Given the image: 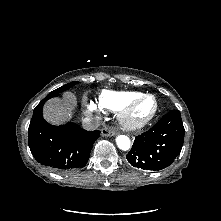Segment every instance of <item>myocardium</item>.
<instances>
[{
    "label": "myocardium",
    "mask_w": 221,
    "mask_h": 221,
    "mask_svg": "<svg viewBox=\"0 0 221 221\" xmlns=\"http://www.w3.org/2000/svg\"><path fill=\"white\" fill-rule=\"evenodd\" d=\"M146 98H152L155 102L154 109L152 113L144 120L139 121V122H133L129 119V114L132 110V108L141 100L146 99ZM159 110V103L157 98L152 95V94H141L132 100L128 101L126 104L122 106V108L118 111V121L120 125L128 130V131H138L146 126H148L156 117L157 113Z\"/></svg>",
    "instance_id": "1"
}]
</instances>
